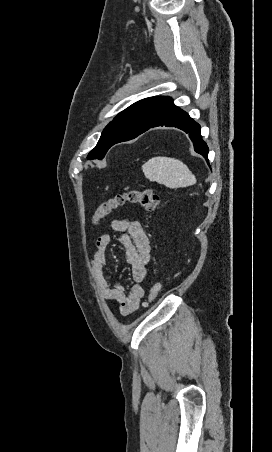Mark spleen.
Here are the masks:
<instances>
[{"label": "spleen", "mask_w": 272, "mask_h": 452, "mask_svg": "<svg viewBox=\"0 0 272 452\" xmlns=\"http://www.w3.org/2000/svg\"><path fill=\"white\" fill-rule=\"evenodd\" d=\"M142 170L147 179L169 188L186 187L196 183L194 174L176 158L153 157L143 165Z\"/></svg>", "instance_id": "obj_1"}]
</instances>
